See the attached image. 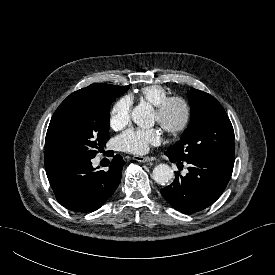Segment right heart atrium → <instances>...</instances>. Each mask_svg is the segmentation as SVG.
<instances>
[{
	"label": "right heart atrium",
	"instance_id": "right-heart-atrium-1",
	"mask_svg": "<svg viewBox=\"0 0 275 275\" xmlns=\"http://www.w3.org/2000/svg\"><path fill=\"white\" fill-rule=\"evenodd\" d=\"M131 107L132 99L129 96H124L115 102L109 120L111 128L120 130L129 123Z\"/></svg>",
	"mask_w": 275,
	"mask_h": 275
}]
</instances>
